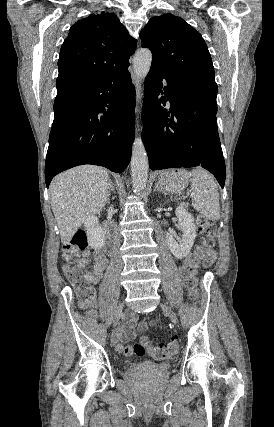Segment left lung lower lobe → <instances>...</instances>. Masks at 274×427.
I'll return each instance as SVG.
<instances>
[{"label": "left lung lower lobe", "instance_id": "obj_1", "mask_svg": "<svg viewBox=\"0 0 274 427\" xmlns=\"http://www.w3.org/2000/svg\"><path fill=\"white\" fill-rule=\"evenodd\" d=\"M216 96L217 91L186 83L151 66L142 114V140L150 169L201 166L214 174L223 188L225 162L216 122ZM167 101L171 105L168 110L161 106Z\"/></svg>", "mask_w": 274, "mask_h": 427}]
</instances>
